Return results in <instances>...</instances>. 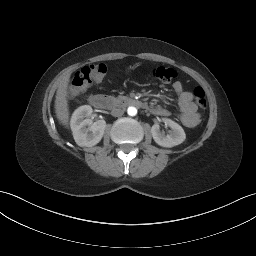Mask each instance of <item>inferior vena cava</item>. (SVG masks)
I'll list each match as a JSON object with an SVG mask.
<instances>
[{
    "mask_svg": "<svg viewBox=\"0 0 256 256\" xmlns=\"http://www.w3.org/2000/svg\"><path fill=\"white\" fill-rule=\"evenodd\" d=\"M123 114H124V111L120 108H114L111 111V115L114 117H119V116H122Z\"/></svg>",
    "mask_w": 256,
    "mask_h": 256,
    "instance_id": "1",
    "label": "inferior vena cava"
}]
</instances>
